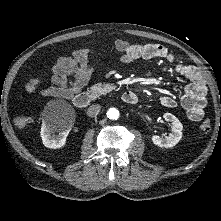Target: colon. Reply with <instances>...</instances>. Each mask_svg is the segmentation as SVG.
<instances>
[{
    "label": "colon",
    "mask_w": 221,
    "mask_h": 221,
    "mask_svg": "<svg viewBox=\"0 0 221 221\" xmlns=\"http://www.w3.org/2000/svg\"><path fill=\"white\" fill-rule=\"evenodd\" d=\"M39 84V80L37 78H31L25 88L28 92L34 93L37 90ZM30 123V119L25 116H21L16 118L15 124L18 128H24ZM200 129L203 133H208L211 130V122L210 120H204L200 126Z\"/></svg>",
    "instance_id": "5ec220e1"
}]
</instances>
